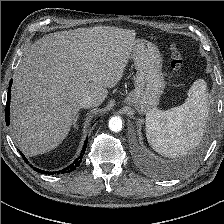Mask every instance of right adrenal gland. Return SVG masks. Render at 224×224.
Wrapping results in <instances>:
<instances>
[{
  "label": "right adrenal gland",
  "instance_id": "obj_1",
  "mask_svg": "<svg viewBox=\"0 0 224 224\" xmlns=\"http://www.w3.org/2000/svg\"><path fill=\"white\" fill-rule=\"evenodd\" d=\"M79 118V114L76 116V118H75V120H74V127H77V129H78V126H77V124H76V122H77V119Z\"/></svg>",
  "mask_w": 224,
  "mask_h": 224
}]
</instances>
